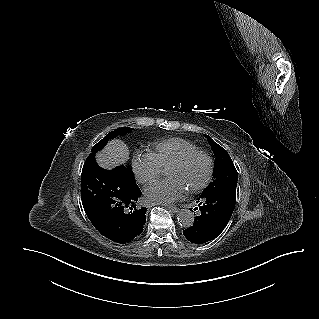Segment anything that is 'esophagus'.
I'll list each match as a JSON object with an SVG mask.
<instances>
[{
	"label": "esophagus",
	"instance_id": "obj_1",
	"mask_svg": "<svg viewBox=\"0 0 319 319\" xmlns=\"http://www.w3.org/2000/svg\"><path fill=\"white\" fill-rule=\"evenodd\" d=\"M167 208L169 209V210H171L172 212H174V213H177V212H179V207H177V206H174V205H167Z\"/></svg>",
	"mask_w": 319,
	"mask_h": 319
}]
</instances>
